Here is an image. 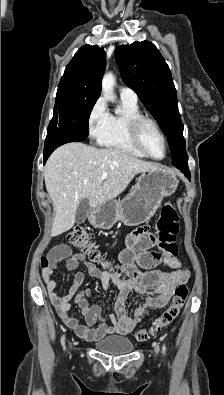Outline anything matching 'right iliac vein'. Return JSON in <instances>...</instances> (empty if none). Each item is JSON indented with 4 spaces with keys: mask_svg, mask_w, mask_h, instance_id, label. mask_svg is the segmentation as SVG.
<instances>
[{
    "mask_svg": "<svg viewBox=\"0 0 224 395\" xmlns=\"http://www.w3.org/2000/svg\"><path fill=\"white\" fill-rule=\"evenodd\" d=\"M70 347H72V343H70Z\"/></svg>",
    "mask_w": 224,
    "mask_h": 395,
    "instance_id": "63e3f726",
    "label": "right iliac vein"
}]
</instances>
